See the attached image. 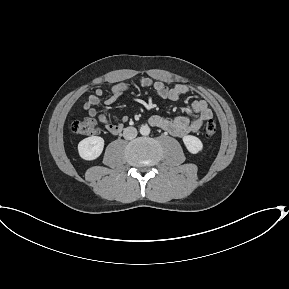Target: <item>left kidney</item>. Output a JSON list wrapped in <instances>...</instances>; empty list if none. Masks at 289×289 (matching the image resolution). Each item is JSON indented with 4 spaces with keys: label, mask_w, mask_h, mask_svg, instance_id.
<instances>
[{
    "label": "left kidney",
    "mask_w": 289,
    "mask_h": 289,
    "mask_svg": "<svg viewBox=\"0 0 289 289\" xmlns=\"http://www.w3.org/2000/svg\"><path fill=\"white\" fill-rule=\"evenodd\" d=\"M183 142L187 150L192 154H197L203 150V144L196 136L186 135L183 137Z\"/></svg>",
    "instance_id": "1"
}]
</instances>
